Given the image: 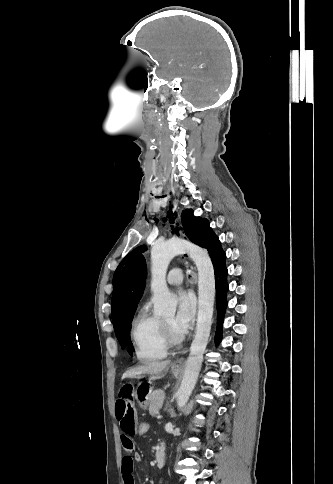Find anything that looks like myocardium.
Here are the masks:
<instances>
[{"label":"myocardium","mask_w":333,"mask_h":484,"mask_svg":"<svg viewBox=\"0 0 333 484\" xmlns=\"http://www.w3.org/2000/svg\"><path fill=\"white\" fill-rule=\"evenodd\" d=\"M162 332L167 346H175L183 340V336L173 331L171 326L161 319Z\"/></svg>","instance_id":"f54148a6"}]
</instances>
